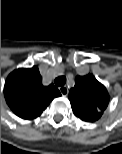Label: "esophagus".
Segmentation results:
<instances>
[{
    "label": "esophagus",
    "instance_id": "esophagus-1",
    "mask_svg": "<svg viewBox=\"0 0 122 154\" xmlns=\"http://www.w3.org/2000/svg\"><path fill=\"white\" fill-rule=\"evenodd\" d=\"M59 91L63 96H67L69 92L66 86L59 87Z\"/></svg>",
    "mask_w": 122,
    "mask_h": 154
}]
</instances>
